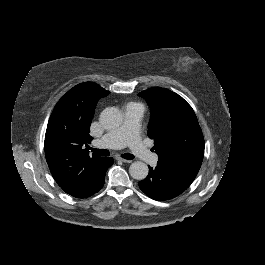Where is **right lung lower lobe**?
Returning <instances> with one entry per match:
<instances>
[{
  "label": "right lung lower lobe",
  "instance_id": "98d812e1",
  "mask_svg": "<svg viewBox=\"0 0 265 265\" xmlns=\"http://www.w3.org/2000/svg\"><path fill=\"white\" fill-rule=\"evenodd\" d=\"M113 164V158H106L105 160V170L103 172L102 175L99 176V178L96 180V183L87 189H83L80 191H76L71 193L70 195L77 197V198H86L89 197L91 195H93L94 193L98 192L104 185V177H105V173L106 170Z\"/></svg>",
  "mask_w": 265,
  "mask_h": 265
}]
</instances>
